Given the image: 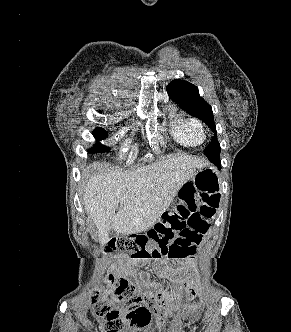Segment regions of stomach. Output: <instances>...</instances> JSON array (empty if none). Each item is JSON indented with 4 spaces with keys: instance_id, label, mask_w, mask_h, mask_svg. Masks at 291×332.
<instances>
[{
    "instance_id": "1",
    "label": "stomach",
    "mask_w": 291,
    "mask_h": 332,
    "mask_svg": "<svg viewBox=\"0 0 291 332\" xmlns=\"http://www.w3.org/2000/svg\"><path fill=\"white\" fill-rule=\"evenodd\" d=\"M191 183L200 192L216 194L220 189L219 172L213 167H204L195 173Z\"/></svg>"
}]
</instances>
